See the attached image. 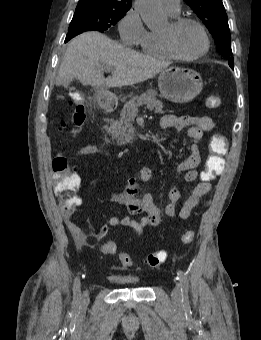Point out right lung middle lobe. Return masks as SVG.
<instances>
[{"label":"right lung middle lobe","instance_id":"right-lung-middle-lobe-1","mask_svg":"<svg viewBox=\"0 0 261 340\" xmlns=\"http://www.w3.org/2000/svg\"><path fill=\"white\" fill-rule=\"evenodd\" d=\"M129 10L118 6L78 4L68 32L75 30L104 32Z\"/></svg>","mask_w":261,"mask_h":340}]
</instances>
